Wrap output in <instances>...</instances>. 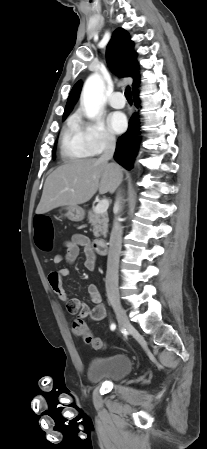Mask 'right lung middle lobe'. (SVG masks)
<instances>
[{
    "label": "right lung middle lobe",
    "instance_id": "right-lung-middle-lobe-1",
    "mask_svg": "<svg viewBox=\"0 0 207 449\" xmlns=\"http://www.w3.org/2000/svg\"><path fill=\"white\" fill-rule=\"evenodd\" d=\"M65 118H63V120H64ZM55 150V149H54ZM53 158H55V156L53 155Z\"/></svg>",
    "mask_w": 207,
    "mask_h": 449
}]
</instances>
